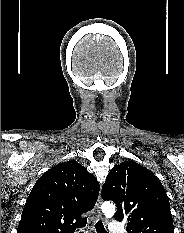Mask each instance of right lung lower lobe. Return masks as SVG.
Returning <instances> with one entry per match:
<instances>
[{"mask_svg": "<svg viewBox=\"0 0 184 233\" xmlns=\"http://www.w3.org/2000/svg\"><path fill=\"white\" fill-rule=\"evenodd\" d=\"M85 225V224H84ZM83 226V225H82ZM81 227V226H80ZM75 232V229L74 230H72V231H70L69 233H74Z\"/></svg>", "mask_w": 184, "mask_h": 233, "instance_id": "obj_1", "label": "right lung lower lobe"}]
</instances>
